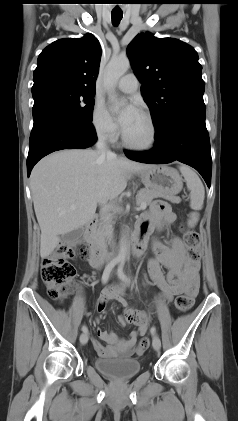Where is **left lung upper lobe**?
<instances>
[{
    "label": "left lung upper lobe",
    "mask_w": 238,
    "mask_h": 421,
    "mask_svg": "<svg viewBox=\"0 0 238 421\" xmlns=\"http://www.w3.org/2000/svg\"><path fill=\"white\" fill-rule=\"evenodd\" d=\"M134 73L157 133L178 113L205 108V83L198 54L190 45L172 38L137 35L127 47Z\"/></svg>",
    "instance_id": "obj_1"
}]
</instances>
